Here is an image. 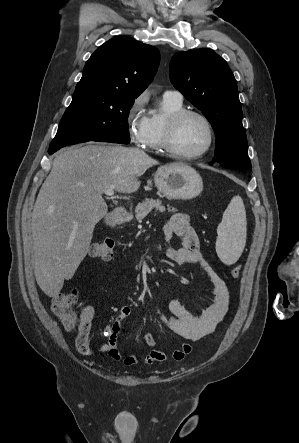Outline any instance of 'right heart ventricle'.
I'll return each mask as SVG.
<instances>
[{"mask_svg": "<svg viewBox=\"0 0 299 443\" xmlns=\"http://www.w3.org/2000/svg\"><path fill=\"white\" fill-rule=\"evenodd\" d=\"M183 109V103L172 99L163 97L162 111L152 113L148 117V133L143 144V147L152 152H162V138L164 132V125L167 117L176 111Z\"/></svg>", "mask_w": 299, "mask_h": 443, "instance_id": "e07e8e85", "label": "right heart ventricle"}]
</instances>
